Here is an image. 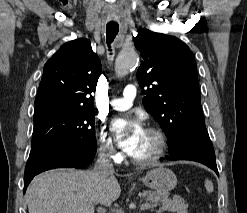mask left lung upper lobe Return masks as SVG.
<instances>
[{
	"mask_svg": "<svg viewBox=\"0 0 247 213\" xmlns=\"http://www.w3.org/2000/svg\"><path fill=\"white\" fill-rule=\"evenodd\" d=\"M135 47L143 61L137 71L146 89L143 105L176 146L192 128H206L201 108L197 66L189 47L173 36L139 31Z\"/></svg>",
	"mask_w": 247,
	"mask_h": 213,
	"instance_id": "1",
	"label": "left lung upper lobe"
}]
</instances>
